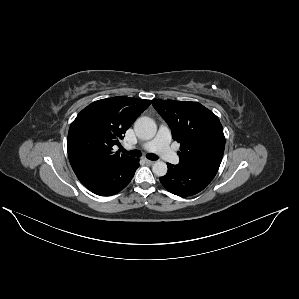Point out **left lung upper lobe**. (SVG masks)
Returning <instances> with one entry per match:
<instances>
[{"instance_id": "1", "label": "left lung upper lobe", "mask_w": 299, "mask_h": 299, "mask_svg": "<svg viewBox=\"0 0 299 299\" xmlns=\"http://www.w3.org/2000/svg\"><path fill=\"white\" fill-rule=\"evenodd\" d=\"M180 145L179 164L210 163L220 166L225 137L219 118L197 102L152 100Z\"/></svg>"}]
</instances>
